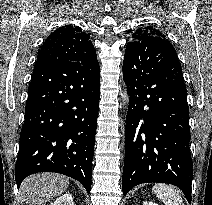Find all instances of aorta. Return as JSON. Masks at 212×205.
I'll return each mask as SVG.
<instances>
[{
  "instance_id": "1",
  "label": "aorta",
  "mask_w": 212,
  "mask_h": 205,
  "mask_svg": "<svg viewBox=\"0 0 212 205\" xmlns=\"http://www.w3.org/2000/svg\"><path fill=\"white\" fill-rule=\"evenodd\" d=\"M122 97L124 98V101L125 100L128 101V96H127V93L126 92H124V94H122Z\"/></svg>"
}]
</instances>
